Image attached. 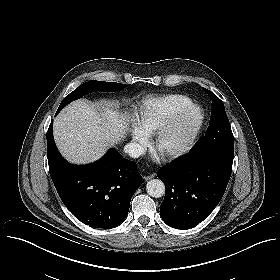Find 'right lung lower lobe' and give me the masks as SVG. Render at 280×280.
I'll return each instance as SVG.
<instances>
[{"label":"right lung lower lobe","mask_w":280,"mask_h":280,"mask_svg":"<svg viewBox=\"0 0 280 280\" xmlns=\"http://www.w3.org/2000/svg\"><path fill=\"white\" fill-rule=\"evenodd\" d=\"M47 158L55 188L67 209L95 228L118 226L127 216L130 201L142 183L137 165L110 149L100 160L83 166L66 162L47 131Z\"/></svg>","instance_id":"obj_1"}]
</instances>
